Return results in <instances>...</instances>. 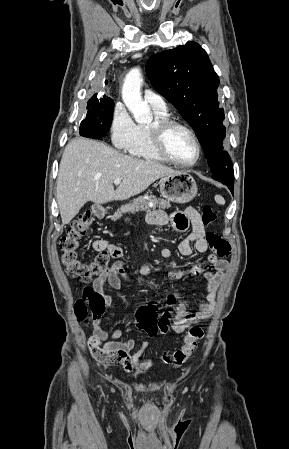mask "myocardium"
Wrapping results in <instances>:
<instances>
[{
    "mask_svg": "<svg viewBox=\"0 0 289 449\" xmlns=\"http://www.w3.org/2000/svg\"><path fill=\"white\" fill-rule=\"evenodd\" d=\"M175 128H179L187 132L189 136L192 138L193 142L195 143L197 148V156L194 161L190 163H184L176 160L170 154L167 147V135L171 130ZM149 133L151 136L154 149L163 160H166L180 167H192L200 161L202 156V146L196 133L188 125L171 118H157L154 121V123L149 127Z\"/></svg>",
    "mask_w": 289,
    "mask_h": 449,
    "instance_id": "myocardium-1",
    "label": "myocardium"
}]
</instances>
